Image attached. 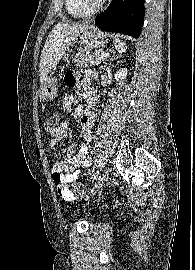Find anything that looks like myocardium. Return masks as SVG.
<instances>
[{
	"mask_svg": "<svg viewBox=\"0 0 195 270\" xmlns=\"http://www.w3.org/2000/svg\"><path fill=\"white\" fill-rule=\"evenodd\" d=\"M88 5H90L94 11H97L105 0H85Z\"/></svg>",
	"mask_w": 195,
	"mask_h": 270,
	"instance_id": "f54148a6",
	"label": "myocardium"
}]
</instances>
